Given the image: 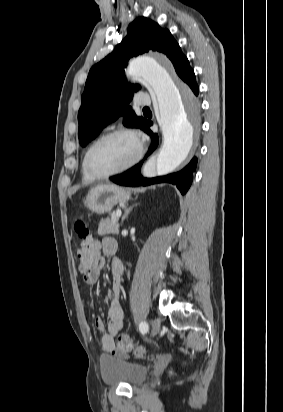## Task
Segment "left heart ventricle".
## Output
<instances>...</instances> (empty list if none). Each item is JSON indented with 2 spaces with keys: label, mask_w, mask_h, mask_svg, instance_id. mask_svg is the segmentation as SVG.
I'll list each match as a JSON object with an SVG mask.
<instances>
[{
  "label": "left heart ventricle",
  "mask_w": 283,
  "mask_h": 412,
  "mask_svg": "<svg viewBox=\"0 0 283 412\" xmlns=\"http://www.w3.org/2000/svg\"><path fill=\"white\" fill-rule=\"evenodd\" d=\"M138 143L129 135H117L101 143L90 159L92 169L105 174L128 164L137 154Z\"/></svg>",
  "instance_id": "1"
}]
</instances>
